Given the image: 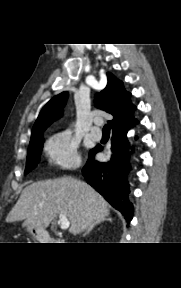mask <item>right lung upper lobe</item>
<instances>
[{"label":"right lung upper lobe","instance_id":"obj_1","mask_svg":"<svg viewBox=\"0 0 181 288\" xmlns=\"http://www.w3.org/2000/svg\"><path fill=\"white\" fill-rule=\"evenodd\" d=\"M107 77L106 88L96 95V105L114 116L113 120L109 121L112 129L126 128L136 122L133 116L136 107L130 101L131 93L124 89L122 81L113 74L108 72ZM67 98L68 92H62L43 107L33 126L30 141L36 139L43 129L62 115Z\"/></svg>","mask_w":181,"mask_h":288}]
</instances>
